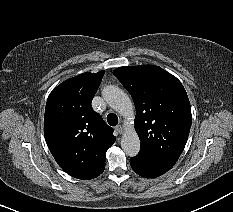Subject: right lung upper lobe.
Segmentation results:
<instances>
[{
	"mask_svg": "<svg viewBox=\"0 0 233 212\" xmlns=\"http://www.w3.org/2000/svg\"><path fill=\"white\" fill-rule=\"evenodd\" d=\"M104 71L70 78L50 93L44 134L58 165L78 179H92L105 168V154L115 142L109 127L91 106Z\"/></svg>",
	"mask_w": 233,
	"mask_h": 212,
	"instance_id": "1",
	"label": "right lung upper lobe"
}]
</instances>
